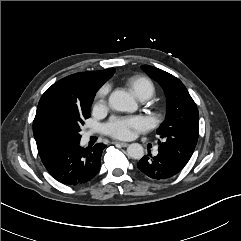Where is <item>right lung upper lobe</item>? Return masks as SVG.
<instances>
[{
    "label": "right lung upper lobe",
    "instance_id": "obj_1",
    "mask_svg": "<svg viewBox=\"0 0 241 241\" xmlns=\"http://www.w3.org/2000/svg\"><path fill=\"white\" fill-rule=\"evenodd\" d=\"M114 68L80 72L67 76L50 86L42 95L33 121V133L41 114L54 105L83 108L93 102L97 90L112 76ZM36 139V138H35Z\"/></svg>",
    "mask_w": 241,
    "mask_h": 241
}]
</instances>
